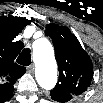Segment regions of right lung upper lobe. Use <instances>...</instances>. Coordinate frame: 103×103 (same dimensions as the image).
<instances>
[{
  "label": "right lung upper lobe",
  "mask_w": 103,
  "mask_h": 103,
  "mask_svg": "<svg viewBox=\"0 0 103 103\" xmlns=\"http://www.w3.org/2000/svg\"><path fill=\"white\" fill-rule=\"evenodd\" d=\"M30 23L26 18L0 17V94L7 97L13 92L15 80L26 71L25 67L17 65L14 61L23 44L13 42V39Z\"/></svg>",
  "instance_id": "cb5924a9"
}]
</instances>
